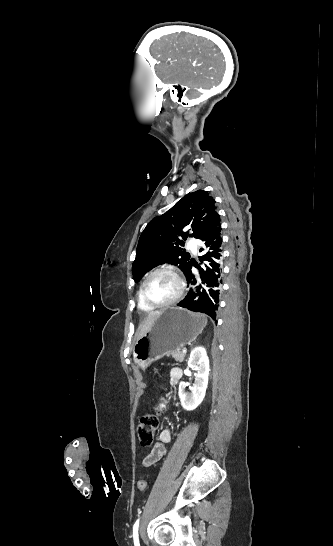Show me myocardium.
I'll list each match as a JSON object with an SVG mask.
<instances>
[{
    "mask_svg": "<svg viewBox=\"0 0 333 546\" xmlns=\"http://www.w3.org/2000/svg\"><path fill=\"white\" fill-rule=\"evenodd\" d=\"M160 272H169V273H171L176 278V280L178 282V285H179V289H178L177 294L172 299H170V300H168L166 302H163V303H156V302L152 301L148 297V295L146 293V286H147L149 280L154 275H156L157 273H160ZM185 288H186L185 281H184L181 273L179 272V270L176 267L172 266V265H163V266H160V267L154 269L153 271H151L146 276V278L144 279V281H143V283L141 285L140 291H141V295H142L143 300L149 306L154 307V308H162V307H167V306L175 304L182 297V295L184 294Z\"/></svg>",
    "mask_w": 333,
    "mask_h": 546,
    "instance_id": "f54148a6",
    "label": "myocardium"
}]
</instances>
